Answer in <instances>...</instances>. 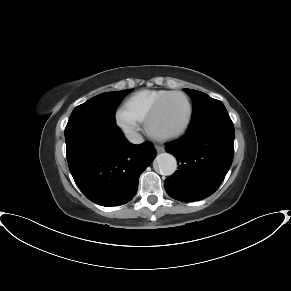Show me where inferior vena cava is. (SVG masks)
<instances>
[{
	"mask_svg": "<svg viewBox=\"0 0 291 291\" xmlns=\"http://www.w3.org/2000/svg\"><path fill=\"white\" fill-rule=\"evenodd\" d=\"M128 140L133 144H141L144 140L143 137L137 132H131L127 135Z\"/></svg>",
	"mask_w": 291,
	"mask_h": 291,
	"instance_id": "602c4592",
	"label": "inferior vena cava"
}]
</instances>
